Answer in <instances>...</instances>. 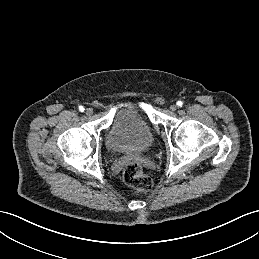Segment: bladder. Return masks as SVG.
<instances>
[{"mask_svg": "<svg viewBox=\"0 0 259 259\" xmlns=\"http://www.w3.org/2000/svg\"><path fill=\"white\" fill-rule=\"evenodd\" d=\"M106 142L108 149L115 154L140 152L152 142V131L139 110L124 108L115 114Z\"/></svg>", "mask_w": 259, "mask_h": 259, "instance_id": "31cf9c89", "label": "bladder"}]
</instances>
